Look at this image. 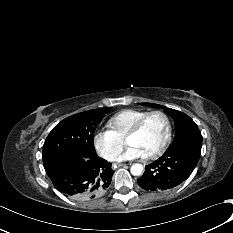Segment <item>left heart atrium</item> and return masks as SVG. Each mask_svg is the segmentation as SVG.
<instances>
[{"mask_svg":"<svg viewBox=\"0 0 233 233\" xmlns=\"http://www.w3.org/2000/svg\"><path fill=\"white\" fill-rule=\"evenodd\" d=\"M145 156L144 153L134 145H128L119 160H133Z\"/></svg>","mask_w":233,"mask_h":233,"instance_id":"39dd6f15","label":"left heart atrium"}]
</instances>
